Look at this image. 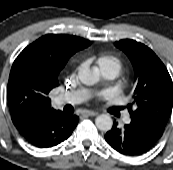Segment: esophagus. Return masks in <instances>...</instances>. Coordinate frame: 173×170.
Wrapping results in <instances>:
<instances>
[{"instance_id":"34e87169","label":"esophagus","mask_w":173,"mask_h":170,"mask_svg":"<svg viewBox=\"0 0 173 170\" xmlns=\"http://www.w3.org/2000/svg\"><path fill=\"white\" fill-rule=\"evenodd\" d=\"M83 114L84 115H87V116L93 117V116H96L97 115V112L92 111V110H86V111L83 112Z\"/></svg>"}]
</instances>
